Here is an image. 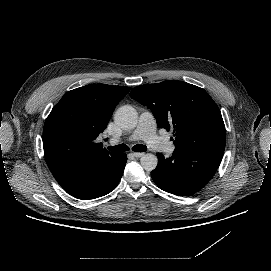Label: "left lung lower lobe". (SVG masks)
Returning a JSON list of instances; mask_svg holds the SVG:
<instances>
[{
  "mask_svg": "<svg viewBox=\"0 0 271 271\" xmlns=\"http://www.w3.org/2000/svg\"><path fill=\"white\" fill-rule=\"evenodd\" d=\"M224 150L208 147H176L172 156L158 155V165L151 172L155 184L162 190L188 196L201 190L213 177Z\"/></svg>",
  "mask_w": 271,
  "mask_h": 271,
  "instance_id": "obj_1",
  "label": "left lung lower lobe"
}]
</instances>
